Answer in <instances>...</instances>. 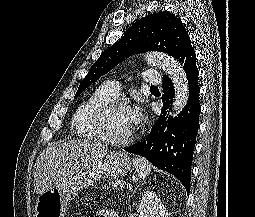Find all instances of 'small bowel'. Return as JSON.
Here are the masks:
<instances>
[{"label":"small bowel","mask_w":255,"mask_h":217,"mask_svg":"<svg viewBox=\"0 0 255 217\" xmlns=\"http://www.w3.org/2000/svg\"><path fill=\"white\" fill-rule=\"evenodd\" d=\"M94 217H117V214L113 211H100Z\"/></svg>","instance_id":"c3829d8e"}]
</instances>
